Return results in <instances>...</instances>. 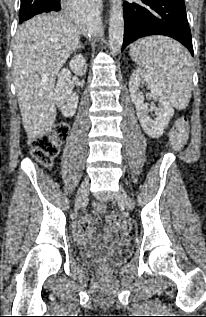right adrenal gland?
<instances>
[{"mask_svg": "<svg viewBox=\"0 0 206 317\" xmlns=\"http://www.w3.org/2000/svg\"><path fill=\"white\" fill-rule=\"evenodd\" d=\"M77 49H83V46L81 44H79Z\"/></svg>", "mask_w": 206, "mask_h": 317, "instance_id": "1", "label": "right adrenal gland"}]
</instances>
